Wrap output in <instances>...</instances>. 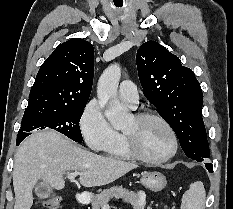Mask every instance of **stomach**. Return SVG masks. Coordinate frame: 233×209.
Instances as JSON below:
<instances>
[{"mask_svg": "<svg viewBox=\"0 0 233 209\" xmlns=\"http://www.w3.org/2000/svg\"><path fill=\"white\" fill-rule=\"evenodd\" d=\"M140 182L145 188L154 192L162 190L167 184L166 177L157 171L143 172Z\"/></svg>", "mask_w": 233, "mask_h": 209, "instance_id": "0dacf381", "label": "stomach"}]
</instances>
